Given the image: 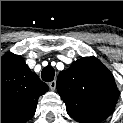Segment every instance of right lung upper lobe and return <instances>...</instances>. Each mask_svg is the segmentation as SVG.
<instances>
[{"label":"right lung upper lobe","mask_w":123,"mask_h":123,"mask_svg":"<svg viewBox=\"0 0 123 123\" xmlns=\"http://www.w3.org/2000/svg\"><path fill=\"white\" fill-rule=\"evenodd\" d=\"M46 83L31 72L20 55L1 57V123H26L36 111Z\"/></svg>","instance_id":"1"}]
</instances>
